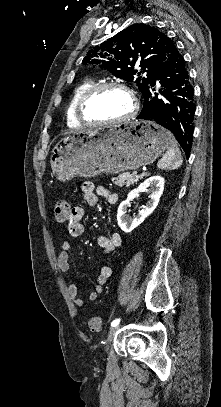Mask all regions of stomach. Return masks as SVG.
I'll return each mask as SVG.
<instances>
[{
  "label": "stomach",
  "instance_id": "0dacf381",
  "mask_svg": "<svg viewBox=\"0 0 221 407\" xmlns=\"http://www.w3.org/2000/svg\"><path fill=\"white\" fill-rule=\"evenodd\" d=\"M171 134L151 121H134L108 129L77 131L52 150L53 175L66 182L76 176L135 170L153 163L168 147Z\"/></svg>",
  "mask_w": 221,
  "mask_h": 407
}]
</instances>
